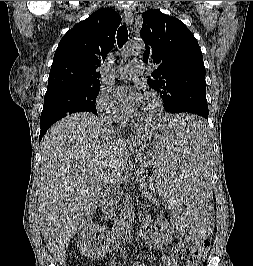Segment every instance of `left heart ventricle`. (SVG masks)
<instances>
[{"instance_id":"obj_1","label":"left heart ventricle","mask_w":253,"mask_h":266,"mask_svg":"<svg viewBox=\"0 0 253 266\" xmlns=\"http://www.w3.org/2000/svg\"><path fill=\"white\" fill-rule=\"evenodd\" d=\"M156 112V104L152 98L143 95L140 103L138 104L132 117L137 122H147L150 120Z\"/></svg>"}]
</instances>
